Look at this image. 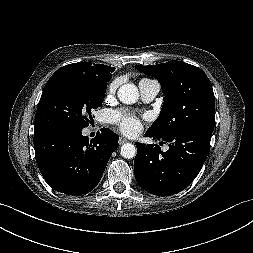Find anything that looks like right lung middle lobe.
<instances>
[{"label":"right lung middle lobe","mask_w":253,"mask_h":253,"mask_svg":"<svg viewBox=\"0 0 253 253\" xmlns=\"http://www.w3.org/2000/svg\"><path fill=\"white\" fill-rule=\"evenodd\" d=\"M109 80L79 71L57 70L46 83L35 116L34 129L62 126L87 127Z\"/></svg>","instance_id":"right-lung-middle-lobe-1"}]
</instances>
